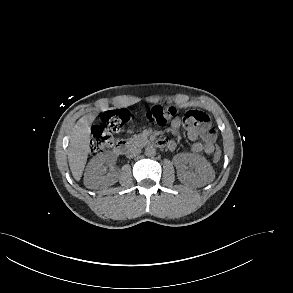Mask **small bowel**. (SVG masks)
Returning a JSON list of instances; mask_svg holds the SVG:
<instances>
[{
	"mask_svg": "<svg viewBox=\"0 0 293 293\" xmlns=\"http://www.w3.org/2000/svg\"><path fill=\"white\" fill-rule=\"evenodd\" d=\"M198 113V119L186 124L185 120L181 118H175L171 122V128L176 130L180 127L182 122L184 121L186 125V131L187 136L190 140L196 141L198 139H201V142H195L191 150L193 153L199 154V153H207L210 154L214 151V145L216 142V133L211 128L209 124V117L207 114H205L202 111L194 110ZM165 141V140H163ZM166 146L169 150H175L176 149V142L173 140H166Z\"/></svg>",
	"mask_w": 293,
	"mask_h": 293,
	"instance_id": "obj_1",
	"label": "small bowel"
}]
</instances>
